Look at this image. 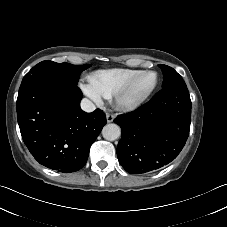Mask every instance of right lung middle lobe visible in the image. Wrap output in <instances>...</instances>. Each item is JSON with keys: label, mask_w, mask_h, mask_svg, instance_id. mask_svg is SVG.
Instances as JSON below:
<instances>
[{"label": "right lung middle lobe", "mask_w": 227, "mask_h": 227, "mask_svg": "<svg viewBox=\"0 0 227 227\" xmlns=\"http://www.w3.org/2000/svg\"><path fill=\"white\" fill-rule=\"evenodd\" d=\"M89 64L75 66L69 63H56L53 61H42L35 65L23 78L25 82L35 76L47 75L68 80L74 84L78 83L80 73L89 68Z\"/></svg>", "instance_id": "obj_1"}]
</instances>
